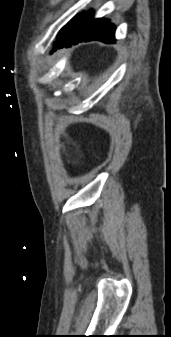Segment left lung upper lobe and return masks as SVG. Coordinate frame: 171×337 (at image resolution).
Listing matches in <instances>:
<instances>
[{
    "label": "left lung upper lobe",
    "instance_id": "5c2ea615",
    "mask_svg": "<svg viewBox=\"0 0 171 337\" xmlns=\"http://www.w3.org/2000/svg\"><path fill=\"white\" fill-rule=\"evenodd\" d=\"M82 14L77 15L74 17L67 26H64L61 31L58 34L57 42L59 43L61 40H63L65 37H67L75 28L77 22L79 21ZM57 45V43H56Z\"/></svg>",
    "mask_w": 171,
    "mask_h": 337
}]
</instances>
